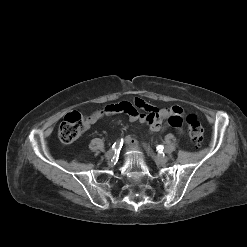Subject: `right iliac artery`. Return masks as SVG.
I'll use <instances>...</instances> for the list:
<instances>
[{
    "label": "right iliac artery",
    "mask_w": 247,
    "mask_h": 247,
    "mask_svg": "<svg viewBox=\"0 0 247 247\" xmlns=\"http://www.w3.org/2000/svg\"><path fill=\"white\" fill-rule=\"evenodd\" d=\"M123 145V140L120 139V140H117V142H115L113 145H112V150H120L121 147Z\"/></svg>",
    "instance_id": "right-iliac-artery-1"
}]
</instances>
